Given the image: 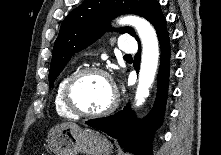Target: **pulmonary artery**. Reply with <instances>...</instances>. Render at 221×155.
<instances>
[{"mask_svg": "<svg viewBox=\"0 0 221 155\" xmlns=\"http://www.w3.org/2000/svg\"><path fill=\"white\" fill-rule=\"evenodd\" d=\"M119 49L124 53H134L136 51V42L129 35H123L120 37L118 42Z\"/></svg>", "mask_w": 221, "mask_h": 155, "instance_id": "1", "label": "pulmonary artery"}]
</instances>
